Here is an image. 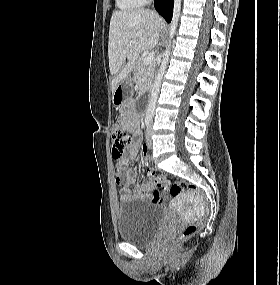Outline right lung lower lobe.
<instances>
[{"label":"right lung lower lobe","mask_w":280,"mask_h":285,"mask_svg":"<svg viewBox=\"0 0 280 285\" xmlns=\"http://www.w3.org/2000/svg\"><path fill=\"white\" fill-rule=\"evenodd\" d=\"M154 5L156 10L168 23H170L172 19L174 0H155Z\"/></svg>","instance_id":"1"}]
</instances>
